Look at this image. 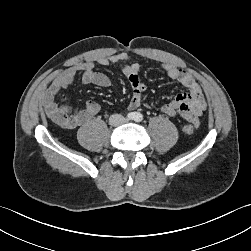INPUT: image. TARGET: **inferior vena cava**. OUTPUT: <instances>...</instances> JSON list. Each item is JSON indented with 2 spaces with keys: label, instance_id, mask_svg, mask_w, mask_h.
Returning a JSON list of instances; mask_svg holds the SVG:
<instances>
[{
  "label": "inferior vena cava",
  "instance_id": "602c4592",
  "mask_svg": "<svg viewBox=\"0 0 251 251\" xmlns=\"http://www.w3.org/2000/svg\"><path fill=\"white\" fill-rule=\"evenodd\" d=\"M126 122V119L120 114H113L109 118V124L112 126H119Z\"/></svg>",
  "mask_w": 251,
  "mask_h": 251
}]
</instances>
